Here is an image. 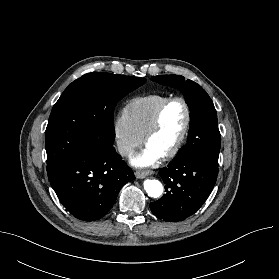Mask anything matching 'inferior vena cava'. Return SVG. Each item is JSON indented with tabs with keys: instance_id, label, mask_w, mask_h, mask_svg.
<instances>
[{
	"instance_id": "obj_1",
	"label": "inferior vena cava",
	"mask_w": 279,
	"mask_h": 279,
	"mask_svg": "<svg viewBox=\"0 0 279 279\" xmlns=\"http://www.w3.org/2000/svg\"><path fill=\"white\" fill-rule=\"evenodd\" d=\"M117 150L120 153V155L123 156H130L134 154V149L128 144L124 143L123 141L117 142Z\"/></svg>"
}]
</instances>
